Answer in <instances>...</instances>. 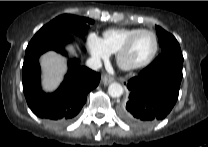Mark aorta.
<instances>
[{"mask_svg":"<svg viewBox=\"0 0 208 147\" xmlns=\"http://www.w3.org/2000/svg\"><path fill=\"white\" fill-rule=\"evenodd\" d=\"M108 93L113 98L120 97L123 94V87L117 82L111 83L108 87Z\"/></svg>","mask_w":208,"mask_h":147,"instance_id":"762f6f07","label":"aorta"}]
</instances>
